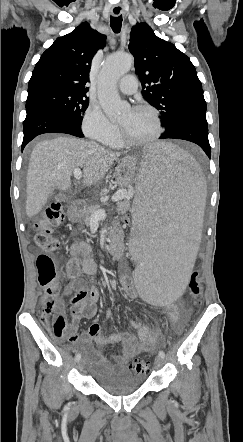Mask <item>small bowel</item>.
Returning a JSON list of instances; mask_svg holds the SVG:
<instances>
[{
    "label": "small bowel",
    "instance_id": "small-bowel-1",
    "mask_svg": "<svg viewBox=\"0 0 243 442\" xmlns=\"http://www.w3.org/2000/svg\"><path fill=\"white\" fill-rule=\"evenodd\" d=\"M70 256L65 268L69 282L64 293L70 294L75 291L76 295L70 299L71 320L67 327L69 340L84 349L86 359L95 367L113 365L118 369H125L130 359L136 355L154 351L162 337L161 331L154 330L137 320L129 321L130 327L137 330V336L130 332L117 331L106 338L101 334V326L97 321L91 323L87 333L82 336L77 335L80 320L93 319L96 316L100 294L95 286H88L82 278V274L93 276L97 272V261L92 254L90 244L85 241L74 242L70 246ZM120 282L131 298L137 297L128 275L121 274ZM166 309L173 330L178 332L180 313L177 306L170 304ZM56 313H64L62 297H57ZM117 343L121 344L119 355L103 357L96 350L97 347Z\"/></svg>",
    "mask_w": 243,
    "mask_h": 442
}]
</instances>
